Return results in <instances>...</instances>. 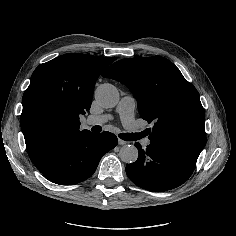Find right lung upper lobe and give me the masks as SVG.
Returning a JSON list of instances; mask_svg holds the SVG:
<instances>
[{
	"label": "right lung upper lobe",
	"instance_id": "cb5924a9",
	"mask_svg": "<svg viewBox=\"0 0 236 236\" xmlns=\"http://www.w3.org/2000/svg\"><path fill=\"white\" fill-rule=\"evenodd\" d=\"M115 59L81 53L61 55L39 65L23 95L21 129L34 165L42 170L69 141L88 130H80L79 115L91 107L95 82ZM55 120L45 126L44 116Z\"/></svg>",
	"mask_w": 236,
	"mask_h": 236
}]
</instances>
